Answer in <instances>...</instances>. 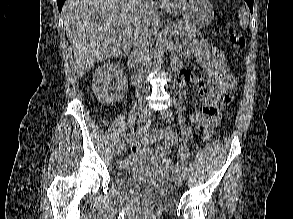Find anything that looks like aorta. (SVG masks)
Wrapping results in <instances>:
<instances>
[{
	"label": "aorta",
	"instance_id": "aorta-1",
	"mask_svg": "<svg viewBox=\"0 0 293 219\" xmlns=\"http://www.w3.org/2000/svg\"><path fill=\"white\" fill-rule=\"evenodd\" d=\"M166 45H167V38L162 32H160L158 34L155 50H154V63L157 66H160L163 62Z\"/></svg>",
	"mask_w": 293,
	"mask_h": 219
}]
</instances>
